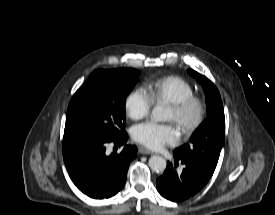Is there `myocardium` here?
I'll return each instance as SVG.
<instances>
[{
	"label": "myocardium",
	"mask_w": 275,
	"mask_h": 215,
	"mask_svg": "<svg viewBox=\"0 0 275 215\" xmlns=\"http://www.w3.org/2000/svg\"><path fill=\"white\" fill-rule=\"evenodd\" d=\"M169 107L176 114L177 125L186 136L198 129L206 117V104L203 99L195 95L171 103Z\"/></svg>",
	"instance_id": "obj_1"
}]
</instances>
